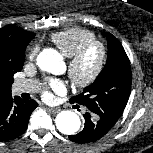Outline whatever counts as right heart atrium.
I'll use <instances>...</instances> for the list:
<instances>
[{
	"mask_svg": "<svg viewBox=\"0 0 153 153\" xmlns=\"http://www.w3.org/2000/svg\"><path fill=\"white\" fill-rule=\"evenodd\" d=\"M38 52V47L37 46H33L28 53V58L30 60H33L36 57V54Z\"/></svg>",
	"mask_w": 153,
	"mask_h": 153,
	"instance_id": "right-heart-atrium-1",
	"label": "right heart atrium"
}]
</instances>
